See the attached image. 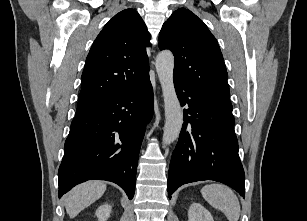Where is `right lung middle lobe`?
<instances>
[{"label":"right lung middle lobe","mask_w":307,"mask_h":221,"mask_svg":"<svg viewBox=\"0 0 307 221\" xmlns=\"http://www.w3.org/2000/svg\"><path fill=\"white\" fill-rule=\"evenodd\" d=\"M87 109H88V108H77L76 114H80V113L86 111Z\"/></svg>","instance_id":"right-lung-middle-lobe-1"}]
</instances>
